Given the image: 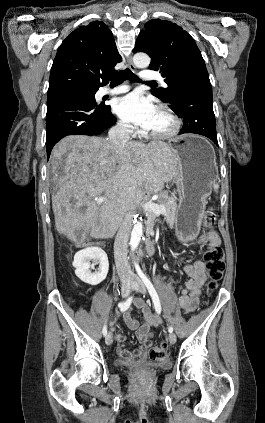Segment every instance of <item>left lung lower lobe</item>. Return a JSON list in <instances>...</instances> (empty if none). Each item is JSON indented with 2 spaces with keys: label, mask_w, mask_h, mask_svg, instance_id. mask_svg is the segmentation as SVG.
I'll use <instances>...</instances> for the list:
<instances>
[{
  "label": "left lung lower lobe",
  "mask_w": 265,
  "mask_h": 423,
  "mask_svg": "<svg viewBox=\"0 0 265 423\" xmlns=\"http://www.w3.org/2000/svg\"><path fill=\"white\" fill-rule=\"evenodd\" d=\"M173 94L176 100L172 110L184 119L180 134H200L218 145L207 69H198L182 77L174 85Z\"/></svg>",
  "instance_id": "1"
}]
</instances>
